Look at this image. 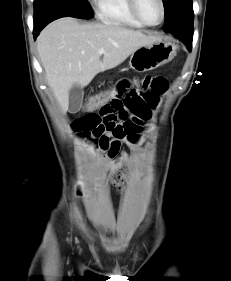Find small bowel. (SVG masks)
I'll list each match as a JSON object with an SVG mask.
<instances>
[{"mask_svg": "<svg viewBox=\"0 0 231 281\" xmlns=\"http://www.w3.org/2000/svg\"><path fill=\"white\" fill-rule=\"evenodd\" d=\"M115 91L111 101L75 119L72 128L86 135L105 152L104 159L111 169L129 163L130 157L119 155L122 141L136 145L138 133L142 131L157 107L160 95L168 89V81L160 75L147 74L142 77H124L112 87Z\"/></svg>", "mask_w": 231, "mask_h": 281, "instance_id": "1", "label": "small bowel"}]
</instances>
